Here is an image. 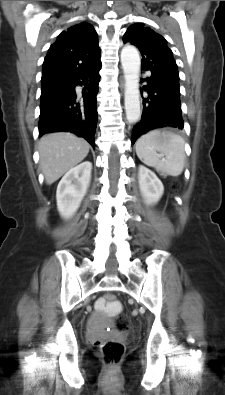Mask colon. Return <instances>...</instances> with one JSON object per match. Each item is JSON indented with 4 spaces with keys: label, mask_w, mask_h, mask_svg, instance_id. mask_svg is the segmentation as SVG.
Listing matches in <instances>:
<instances>
[{
    "label": "colon",
    "mask_w": 225,
    "mask_h": 395,
    "mask_svg": "<svg viewBox=\"0 0 225 395\" xmlns=\"http://www.w3.org/2000/svg\"><path fill=\"white\" fill-rule=\"evenodd\" d=\"M179 187L180 184L178 181H175L172 185L174 190H178ZM105 299L107 304H110L111 300H116L113 295H107ZM117 328L120 332L125 333L123 338L107 339L95 343L100 349V354L105 365L108 367H115L122 361L126 351V344L133 339L132 335L127 333L129 329L127 322H120Z\"/></svg>",
    "instance_id": "obj_1"
}]
</instances>
